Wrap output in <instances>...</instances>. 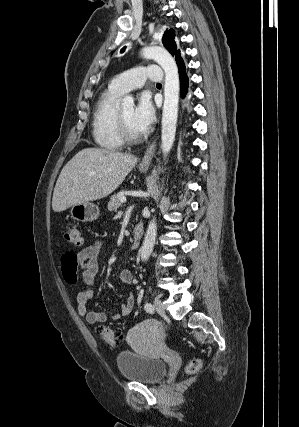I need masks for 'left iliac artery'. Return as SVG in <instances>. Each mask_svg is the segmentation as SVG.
I'll return each instance as SVG.
<instances>
[{
    "mask_svg": "<svg viewBox=\"0 0 299 427\" xmlns=\"http://www.w3.org/2000/svg\"><path fill=\"white\" fill-rule=\"evenodd\" d=\"M144 308H145V310L148 312V313H153V306L150 304V303H145V306H144Z\"/></svg>",
    "mask_w": 299,
    "mask_h": 427,
    "instance_id": "44dca946",
    "label": "left iliac artery"
}]
</instances>
